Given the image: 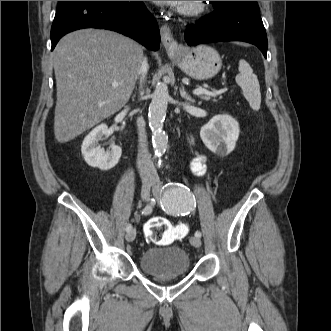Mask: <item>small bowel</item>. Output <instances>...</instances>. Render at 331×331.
<instances>
[{"label": "small bowel", "mask_w": 331, "mask_h": 331, "mask_svg": "<svg viewBox=\"0 0 331 331\" xmlns=\"http://www.w3.org/2000/svg\"><path fill=\"white\" fill-rule=\"evenodd\" d=\"M191 170L195 175H204L206 172V158L203 155L196 156L191 161Z\"/></svg>", "instance_id": "small-bowel-1"}]
</instances>
